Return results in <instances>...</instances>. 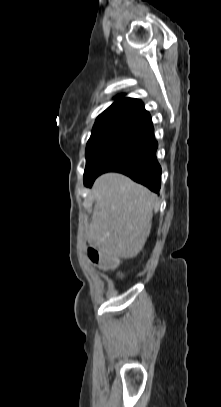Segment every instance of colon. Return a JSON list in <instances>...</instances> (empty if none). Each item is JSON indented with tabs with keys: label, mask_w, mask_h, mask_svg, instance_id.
<instances>
[{
	"label": "colon",
	"mask_w": 221,
	"mask_h": 407,
	"mask_svg": "<svg viewBox=\"0 0 221 407\" xmlns=\"http://www.w3.org/2000/svg\"><path fill=\"white\" fill-rule=\"evenodd\" d=\"M89 256L92 262L100 264V269L104 272H110L111 268L122 266L121 259L110 258L105 253L100 256L96 251L91 250Z\"/></svg>",
	"instance_id": "1"
}]
</instances>
